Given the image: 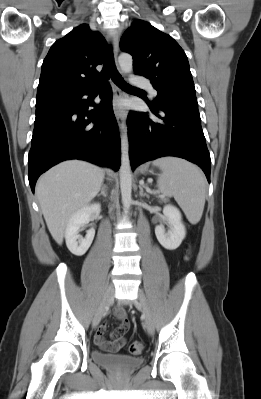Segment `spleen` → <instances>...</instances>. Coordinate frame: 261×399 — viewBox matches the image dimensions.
<instances>
[{"mask_svg":"<svg viewBox=\"0 0 261 399\" xmlns=\"http://www.w3.org/2000/svg\"><path fill=\"white\" fill-rule=\"evenodd\" d=\"M162 173L157 184L162 193L173 196L190 223L200 221L206 194V179L194 164L177 157H163L153 161Z\"/></svg>","mask_w":261,"mask_h":399,"instance_id":"3e777b00","label":"spleen"}]
</instances>
